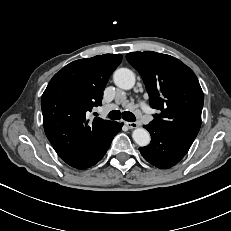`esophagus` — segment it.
<instances>
[{
  "label": "esophagus",
  "instance_id": "34e87169",
  "mask_svg": "<svg viewBox=\"0 0 231 231\" xmlns=\"http://www.w3.org/2000/svg\"><path fill=\"white\" fill-rule=\"evenodd\" d=\"M125 124L128 126L130 129H134L138 127V124L136 122H125Z\"/></svg>",
  "mask_w": 231,
  "mask_h": 231
}]
</instances>
